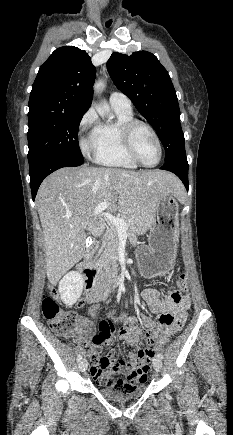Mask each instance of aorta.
Instances as JSON below:
<instances>
[{
	"label": "aorta",
	"instance_id": "1",
	"mask_svg": "<svg viewBox=\"0 0 233 435\" xmlns=\"http://www.w3.org/2000/svg\"><path fill=\"white\" fill-rule=\"evenodd\" d=\"M104 86H105L104 81L99 80L94 84V91L97 94H100L102 92ZM97 112L102 117H110L111 116L110 108H109L108 104H106V103H103L99 107H97Z\"/></svg>",
	"mask_w": 233,
	"mask_h": 435
}]
</instances>
